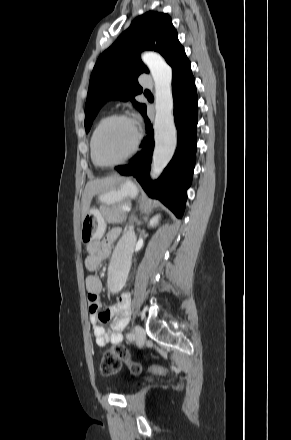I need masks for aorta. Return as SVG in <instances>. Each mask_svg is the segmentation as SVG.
Returning a JSON list of instances; mask_svg holds the SVG:
<instances>
[{"instance_id": "obj_1", "label": "aorta", "mask_w": 291, "mask_h": 440, "mask_svg": "<svg viewBox=\"0 0 291 440\" xmlns=\"http://www.w3.org/2000/svg\"><path fill=\"white\" fill-rule=\"evenodd\" d=\"M142 61L149 68L155 87V147L151 177L157 178L172 159L177 146V130L173 115L172 69L157 53L145 52ZM136 244V234L129 229L117 243L108 276V287L119 291L125 284Z\"/></svg>"}]
</instances>
